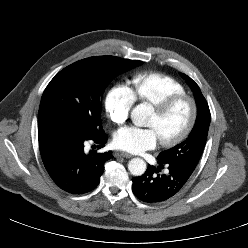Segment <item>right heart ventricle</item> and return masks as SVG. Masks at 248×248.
I'll return each instance as SVG.
<instances>
[{"mask_svg":"<svg viewBox=\"0 0 248 248\" xmlns=\"http://www.w3.org/2000/svg\"><path fill=\"white\" fill-rule=\"evenodd\" d=\"M127 88L134 101L151 105L170 95L186 93L182 83L171 76L160 73L136 74L130 79Z\"/></svg>","mask_w":248,"mask_h":248,"instance_id":"obj_1","label":"right heart ventricle"}]
</instances>
